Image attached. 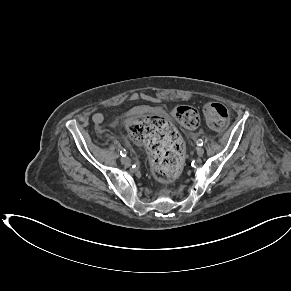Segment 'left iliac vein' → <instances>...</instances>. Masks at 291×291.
Masks as SVG:
<instances>
[{
  "instance_id": "left-iliac-vein-1",
  "label": "left iliac vein",
  "mask_w": 291,
  "mask_h": 291,
  "mask_svg": "<svg viewBox=\"0 0 291 291\" xmlns=\"http://www.w3.org/2000/svg\"><path fill=\"white\" fill-rule=\"evenodd\" d=\"M196 153L199 157H201L204 154V149L202 147H198Z\"/></svg>"
}]
</instances>
